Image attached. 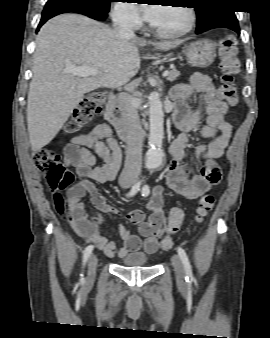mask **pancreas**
I'll list each match as a JSON object with an SVG mask.
<instances>
[{"label":"pancreas","mask_w":270,"mask_h":338,"mask_svg":"<svg viewBox=\"0 0 270 338\" xmlns=\"http://www.w3.org/2000/svg\"><path fill=\"white\" fill-rule=\"evenodd\" d=\"M179 76H180V72L177 71L176 69H173L169 72L167 80L172 82L176 80Z\"/></svg>","instance_id":"pancreas-1"}]
</instances>
